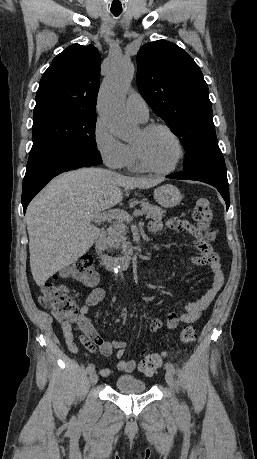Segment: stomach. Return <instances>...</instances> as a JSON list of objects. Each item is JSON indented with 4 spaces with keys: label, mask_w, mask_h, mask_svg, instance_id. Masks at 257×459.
Listing matches in <instances>:
<instances>
[{
    "label": "stomach",
    "mask_w": 257,
    "mask_h": 459,
    "mask_svg": "<svg viewBox=\"0 0 257 459\" xmlns=\"http://www.w3.org/2000/svg\"><path fill=\"white\" fill-rule=\"evenodd\" d=\"M154 198L161 206L171 208L180 203L182 195L176 186L166 184L155 189Z\"/></svg>",
    "instance_id": "stomach-1"
}]
</instances>
